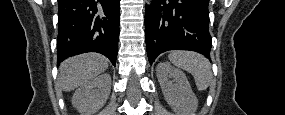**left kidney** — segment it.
<instances>
[{
	"instance_id": "5707ae66",
	"label": "left kidney",
	"mask_w": 285,
	"mask_h": 115,
	"mask_svg": "<svg viewBox=\"0 0 285 115\" xmlns=\"http://www.w3.org/2000/svg\"><path fill=\"white\" fill-rule=\"evenodd\" d=\"M163 95L173 110L188 114L197 109L198 99L193 93L186 75L168 62H160L156 68ZM173 78V80H171Z\"/></svg>"
}]
</instances>
